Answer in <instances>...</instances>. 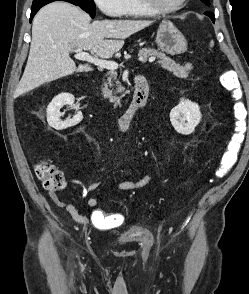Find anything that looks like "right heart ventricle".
I'll return each mask as SVG.
<instances>
[{
    "instance_id": "e07e8e85",
    "label": "right heart ventricle",
    "mask_w": 249,
    "mask_h": 294,
    "mask_svg": "<svg viewBox=\"0 0 249 294\" xmlns=\"http://www.w3.org/2000/svg\"><path fill=\"white\" fill-rule=\"evenodd\" d=\"M151 13L142 5L140 0H122L120 16L145 17Z\"/></svg>"
}]
</instances>
